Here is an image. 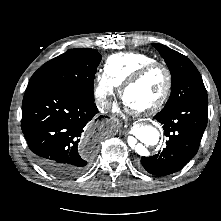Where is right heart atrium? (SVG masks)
Here are the masks:
<instances>
[{
  "label": "right heart atrium",
  "instance_id": "right-heart-atrium-1",
  "mask_svg": "<svg viewBox=\"0 0 221 221\" xmlns=\"http://www.w3.org/2000/svg\"><path fill=\"white\" fill-rule=\"evenodd\" d=\"M117 88L118 85L105 72L99 73L96 76L94 89L96 104L106 109L111 104Z\"/></svg>",
  "mask_w": 221,
  "mask_h": 221
}]
</instances>
